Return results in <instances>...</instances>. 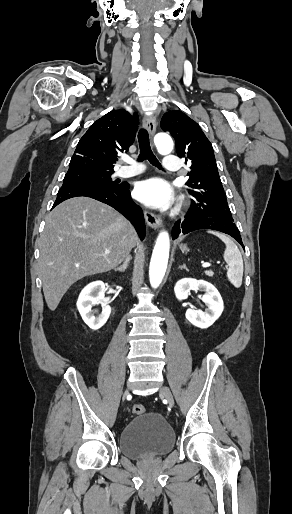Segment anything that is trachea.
<instances>
[{"mask_svg":"<svg viewBox=\"0 0 292 514\" xmlns=\"http://www.w3.org/2000/svg\"><path fill=\"white\" fill-rule=\"evenodd\" d=\"M138 142L140 148V154L138 156V162H142L143 160H149V162L155 167L162 169V165L156 159V156L152 152L150 147V139L147 130L142 128L138 133Z\"/></svg>","mask_w":292,"mask_h":514,"instance_id":"obj_1","label":"trachea"}]
</instances>
